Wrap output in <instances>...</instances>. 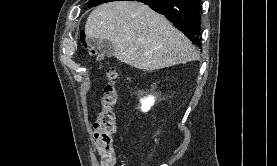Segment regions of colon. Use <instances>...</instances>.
Masks as SVG:
<instances>
[{"mask_svg": "<svg viewBox=\"0 0 277 166\" xmlns=\"http://www.w3.org/2000/svg\"><path fill=\"white\" fill-rule=\"evenodd\" d=\"M80 41L97 61H103V57L93 47L88 46L83 31L80 33ZM105 71L107 83L103 88L101 98L102 107L98 118L93 125V129L97 150L101 159V166H116L117 157L114 144L116 122L114 106L117 102V91L115 85L117 72L114 67L109 65H105Z\"/></svg>", "mask_w": 277, "mask_h": 166, "instance_id": "5ec220e1", "label": "colon"}]
</instances>
